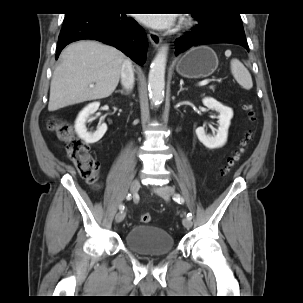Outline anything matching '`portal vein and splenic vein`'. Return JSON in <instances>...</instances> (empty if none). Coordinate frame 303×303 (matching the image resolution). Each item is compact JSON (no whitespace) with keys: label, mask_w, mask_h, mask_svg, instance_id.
<instances>
[{"label":"portal vein and splenic vein","mask_w":303,"mask_h":303,"mask_svg":"<svg viewBox=\"0 0 303 303\" xmlns=\"http://www.w3.org/2000/svg\"><path fill=\"white\" fill-rule=\"evenodd\" d=\"M209 83V80H203L199 83L200 86L207 85ZM90 87H94V85H90Z\"/></svg>","instance_id":"obj_1"}]
</instances>
